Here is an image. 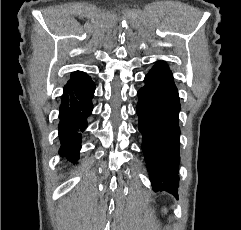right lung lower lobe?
Returning a JSON list of instances; mask_svg holds the SVG:
<instances>
[{
	"label": "right lung lower lobe",
	"instance_id": "right-lung-lower-lobe-1",
	"mask_svg": "<svg viewBox=\"0 0 241 230\" xmlns=\"http://www.w3.org/2000/svg\"><path fill=\"white\" fill-rule=\"evenodd\" d=\"M95 84L84 72L76 71L64 86L59 112V137L61 156L73 162L79 158L82 132L87 127V118L93 110L92 98Z\"/></svg>",
	"mask_w": 241,
	"mask_h": 230
}]
</instances>
